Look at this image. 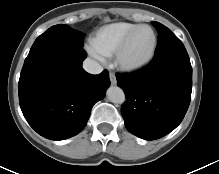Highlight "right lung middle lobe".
Returning <instances> with one entry per match:
<instances>
[{
  "label": "right lung middle lobe",
  "instance_id": "dd1d6c3e",
  "mask_svg": "<svg viewBox=\"0 0 219 174\" xmlns=\"http://www.w3.org/2000/svg\"><path fill=\"white\" fill-rule=\"evenodd\" d=\"M84 35L77 30L70 28L66 24L52 26L41 34L32 45L27 57L55 44L70 45L82 48Z\"/></svg>",
  "mask_w": 219,
  "mask_h": 174
}]
</instances>
